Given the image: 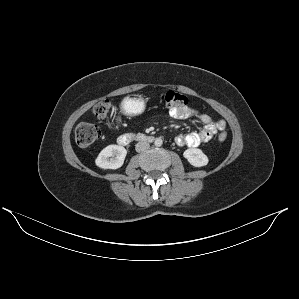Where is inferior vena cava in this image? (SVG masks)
Wrapping results in <instances>:
<instances>
[{"instance_id": "1", "label": "inferior vena cava", "mask_w": 299, "mask_h": 299, "mask_svg": "<svg viewBox=\"0 0 299 299\" xmlns=\"http://www.w3.org/2000/svg\"><path fill=\"white\" fill-rule=\"evenodd\" d=\"M149 143L145 141H140L135 145V149L137 152H143L149 148Z\"/></svg>"}]
</instances>
